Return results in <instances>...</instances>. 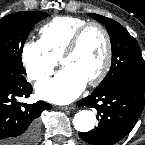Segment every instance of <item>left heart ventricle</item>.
Instances as JSON below:
<instances>
[{
	"instance_id": "obj_1",
	"label": "left heart ventricle",
	"mask_w": 145,
	"mask_h": 145,
	"mask_svg": "<svg viewBox=\"0 0 145 145\" xmlns=\"http://www.w3.org/2000/svg\"><path fill=\"white\" fill-rule=\"evenodd\" d=\"M106 53L103 34L97 28L85 32L73 54L66 57L62 65L77 71L88 82L100 71Z\"/></svg>"
}]
</instances>
